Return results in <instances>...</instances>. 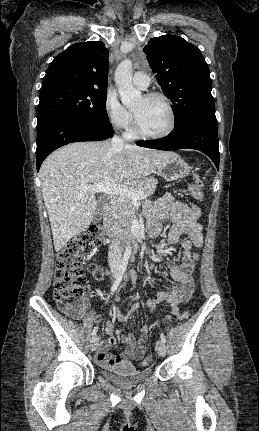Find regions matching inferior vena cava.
I'll return each instance as SVG.
<instances>
[{"label":"inferior vena cava","instance_id":"obj_1","mask_svg":"<svg viewBox=\"0 0 259 431\" xmlns=\"http://www.w3.org/2000/svg\"><path fill=\"white\" fill-rule=\"evenodd\" d=\"M111 145L114 148H123L125 143L122 138L115 135L111 139ZM108 259L111 266L117 265L119 266L122 261V253L120 249V241L117 238H113L111 244L109 246Z\"/></svg>","mask_w":259,"mask_h":431}]
</instances>
